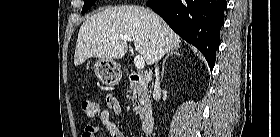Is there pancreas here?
I'll return each mask as SVG.
<instances>
[{
	"instance_id": "pancreas-1",
	"label": "pancreas",
	"mask_w": 280,
	"mask_h": 137,
	"mask_svg": "<svg viewBox=\"0 0 280 137\" xmlns=\"http://www.w3.org/2000/svg\"><path fill=\"white\" fill-rule=\"evenodd\" d=\"M133 95L131 100L133 101L134 110L139 119H144V116L151 112V101L149 99V92L147 87L142 83H133L129 85Z\"/></svg>"
}]
</instances>
